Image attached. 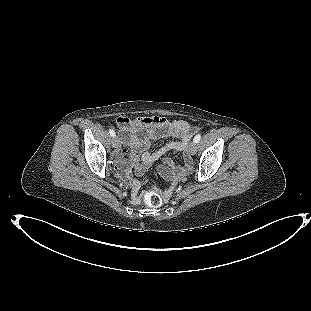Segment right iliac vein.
Segmentation results:
<instances>
[{"label": "right iliac vein", "mask_w": 311, "mask_h": 311, "mask_svg": "<svg viewBox=\"0 0 311 311\" xmlns=\"http://www.w3.org/2000/svg\"><path fill=\"white\" fill-rule=\"evenodd\" d=\"M119 138L117 137V136H114L113 137V139H112V146L114 147V148H118V146H119Z\"/></svg>", "instance_id": "1"}]
</instances>
